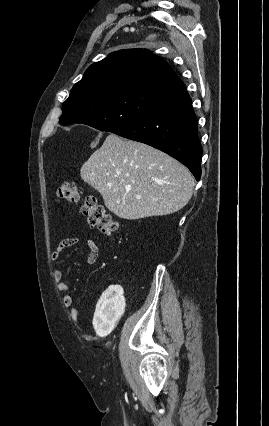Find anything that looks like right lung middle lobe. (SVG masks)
I'll list each match as a JSON object with an SVG mask.
<instances>
[{
  "label": "right lung middle lobe",
  "mask_w": 269,
  "mask_h": 426,
  "mask_svg": "<svg viewBox=\"0 0 269 426\" xmlns=\"http://www.w3.org/2000/svg\"><path fill=\"white\" fill-rule=\"evenodd\" d=\"M158 95L159 92L140 89L103 92L93 97L70 94L63 104L60 123H82L101 131L115 132L142 117Z\"/></svg>",
  "instance_id": "obj_1"
}]
</instances>
